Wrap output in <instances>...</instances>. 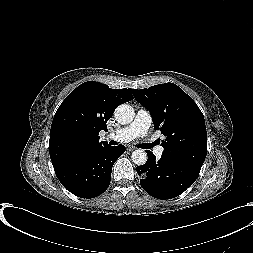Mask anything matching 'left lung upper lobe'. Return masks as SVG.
Listing matches in <instances>:
<instances>
[{
	"label": "left lung upper lobe",
	"mask_w": 253,
	"mask_h": 253,
	"mask_svg": "<svg viewBox=\"0 0 253 253\" xmlns=\"http://www.w3.org/2000/svg\"><path fill=\"white\" fill-rule=\"evenodd\" d=\"M131 92L149 110L155 129L166 136L162 155L201 169L207 154V132L193 99L173 83Z\"/></svg>",
	"instance_id": "obj_1"
}]
</instances>
